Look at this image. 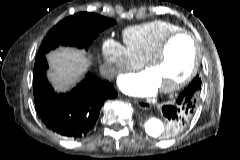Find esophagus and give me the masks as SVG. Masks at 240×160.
I'll use <instances>...</instances> for the list:
<instances>
[{
	"mask_svg": "<svg viewBox=\"0 0 240 160\" xmlns=\"http://www.w3.org/2000/svg\"><path fill=\"white\" fill-rule=\"evenodd\" d=\"M134 103L136 105H138L139 107L145 108V109L147 108V105H148V102L142 101V100H137V99H134Z\"/></svg>",
	"mask_w": 240,
	"mask_h": 160,
	"instance_id": "obj_1",
	"label": "esophagus"
}]
</instances>
